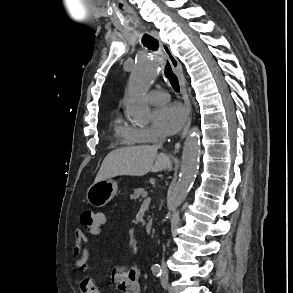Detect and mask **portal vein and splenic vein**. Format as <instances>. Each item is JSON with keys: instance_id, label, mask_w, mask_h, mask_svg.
<instances>
[{"instance_id": "obj_1", "label": "portal vein and splenic vein", "mask_w": 293, "mask_h": 293, "mask_svg": "<svg viewBox=\"0 0 293 293\" xmlns=\"http://www.w3.org/2000/svg\"><path fill=\"white\" fill-rule=\"evenodd\" d=\"M147 195H148V193H147V192H145V193L142 195V198H146V197H147Z\"/></svg>"}]
</instances>
